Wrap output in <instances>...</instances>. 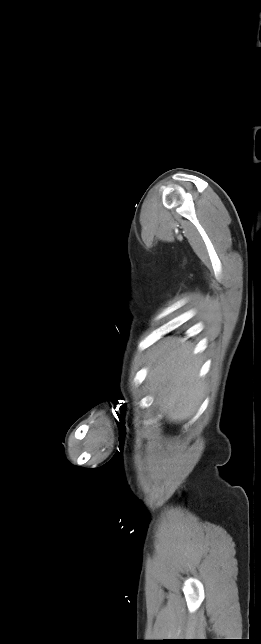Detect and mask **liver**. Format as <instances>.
I'll return each instance as SVG.
<instances>
[{
    "label": "liver",
    "instance_id": "1",
    "mask_svg": "<svg viewBox=\"0 0 261 644\" xmlns=\"http://www.w3.org/2000/svg\"><path fill=\"white\" fill-rule=\"evenodd\" d=\"M147 375L149 392L170 422L179 423L195 414L205 384L199 378L200 359L188 342L165 340L153 348Z\"/></svg>",
    "mask_w": 261,
    "mask_h": 644
}]
</instances>
